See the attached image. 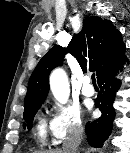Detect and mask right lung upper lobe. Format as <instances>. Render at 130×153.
<instances>
[{
  "instance_id": "1",
  "label": "right lung upper lobe",
  "mask_w": 130,
  "mask_h": 153,
  "mask_svg": "<svg viewBox=\"0 0 130 153\" xmlns=\"http://www.w3.org/2000/svg\"><path fill=\"white\" fill-rule=\"evenodd\" d=\"M125 50L121 33L111 21L98 16L85 18L82 30L72 38L68 48L55 45L39 61L29 80L24 109L43 103L49 92V74L62 64L67 52L77 59L83 72L96 71L98 78L125 56Z\"/></svg>"
}]
</instances>
